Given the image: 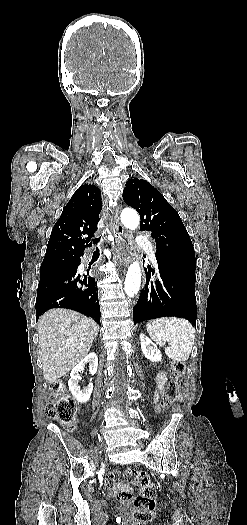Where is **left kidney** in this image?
I'll return each instance as SVG.
<instances>
[{
    "label": "left kidney",
    "mask_w": 247,
    "mask_h": 525,
    "mask_svg": "<svg viewBox=\"0 0 247 525\" xmlns=\"http://www.w3.org/2000/svg\"><path fill=\"white\" fill-rule=\"evenodd\" d=\"M139 339L141 341L140 345L144 357L149 359V361H152V363H154V361L155 363L161 361V351L157 349L155 343H152V341H150L146 335H140Z\"/></svg>",
    "instance_id": "obj_1"
}]
</instances>
